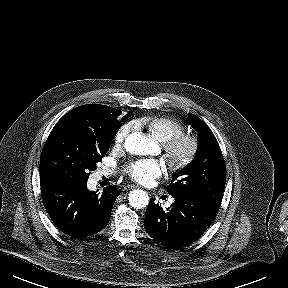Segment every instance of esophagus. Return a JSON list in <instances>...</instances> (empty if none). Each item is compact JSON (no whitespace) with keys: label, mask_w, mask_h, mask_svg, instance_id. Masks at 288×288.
Listing matches in <instances>:
<instances>
[{"label":"esophagus","mask_w":288,"mask_h":288,"mask_svg":"<svg viewBox=\"0 0 288 288\" xmlns=\"http://www.w3.org/2000/svg\"><path fill=\"white\" fill-rule=\"evenodd\" d=\"M132 188H134V186L128 185V186H125V187H124V190H130V189H132Z\"/></svg>","instance_id":"34e87169"}]
</instances>
